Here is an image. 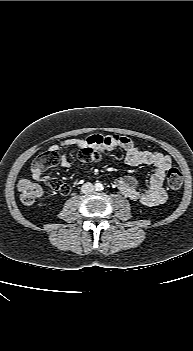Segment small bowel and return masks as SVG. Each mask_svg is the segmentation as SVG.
Returning a JSON list of instances; mask_svg holds the SVG:
<instances>
[{
    "label": "small bowel",
    "mask_w": 193,
    "mask_h": 351,
    "mask_svg": "<svg viewBox=\"0 0 193 351\" xmlns=\"http://www.w3.org/2000/svg\"><path fill=\"white\" fill-rule=\"evenodd\" d=\"M85 146L99 151H112L116 148H121L125 151V162L127 165L132 167L145 166L152 168V173L148 180V187L144 191L138 188L137 181L133 177L124 176L116 180L115 184L117 188L125 197L138 201L147 207L157 206L166 201L167 194L163 188V181L166 172L172 165V160L168 155L142 150L136 146L131 139L118 135H93L87 140L70 138L50 145L48 150L60 152L68 147L84 148ZM60 165L63 168L72 169V165L66 154L61 155ZM32 177L35 180L44 181L49 186L52 180V178L43 175L42 172L32 171Z\"/></svg>",
    "instance_id": "small-bowel-1"
}]
</instances>
